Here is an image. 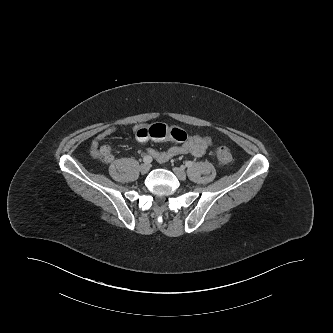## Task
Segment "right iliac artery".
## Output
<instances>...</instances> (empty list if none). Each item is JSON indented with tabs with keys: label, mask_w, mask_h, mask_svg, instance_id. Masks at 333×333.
Returning <instances> with one entry per match:
<instances>
[{
	"label": "right iliac artery",
	"mask_w": 333,
	"mask_h": 333,
	"mask_svg": "<svg viewBox=\"0 0 333 333\" xmlns=\"http://www.w3.org/2000/svg\"><path fill=\"white\" fill-rule=\"evenodd\" d=\"M143 161H144V163H151L152 157L149 155H146V156H144Z\"/></svg>",
	"instance_id": "1"
}]
</instances>
